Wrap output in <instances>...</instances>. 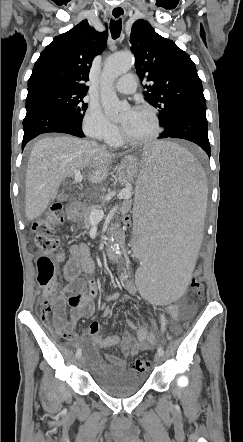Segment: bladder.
Listing matches in <instances>:
<instances>
[{
  "label": "bladder",
  "mask_w": 243,
  "mask_h": 442,
  "mask_svg": "<svg viewBox=\"0 0 243 442\" xmlns=\"http://www.w3.org/2000/svg\"><path fill=\"white\" fill-rule=\"evenodd\" d=\"M91 378L96 386L114 398H126L140 390L144 381L126 368L109 361H100L91 367Z\"/></svg>",
  "instance_id": "31cf9c89"
}]
</instances>
